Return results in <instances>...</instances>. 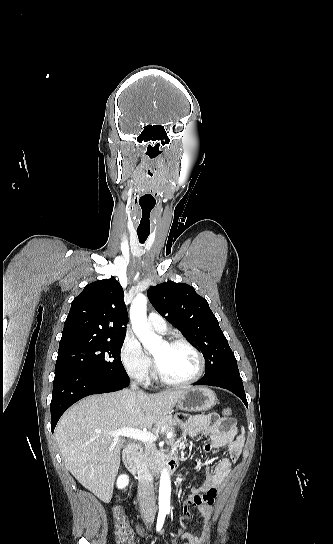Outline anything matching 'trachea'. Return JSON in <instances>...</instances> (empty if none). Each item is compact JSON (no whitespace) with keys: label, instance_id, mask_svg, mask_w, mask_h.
I'll use <instances>...</instances> for the list:
<instances>
[{"label":"trachea","instance_id":"3493384b","mask_svg":"<svg viewBox=\"0 0 333 544\" xmlns=\"http://www.w3.org/2000/svg\"><path fill=\"white\" fill-rule=\"evenodd\" d=\"M137 234H138L139 242L141 244H143L147 240V238L149 236V233H140V232H138Z\"/></svg>","mask_w":333,"mask_h":544}]
</instances>
